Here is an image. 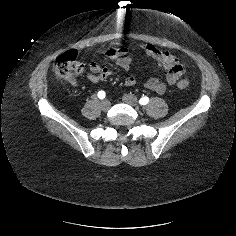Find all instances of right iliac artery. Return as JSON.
<instances>
[{
	"label": "right iliac artery",
	"instance_id": "1",
	"mask_svg": "<svg viewBox=\"0 0 236 236\" xmlns=\"http://www.w3.org/2000/svg\"><path fill=\"white\" fill-rule=\"evenodd\" d=\"M97 95H98V98H99V99H104V98H105V96H106L105 92H104V91H102V90H101V91H99Z\"/></svg>",
	"mask_w": 236,
	"mask_h": 236
}]
</instances>
